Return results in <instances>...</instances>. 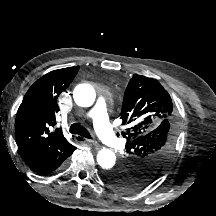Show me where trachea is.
<instances>
[{
    "label": "trachea",
    "instance_id": "1",
    "mask_svg": "<svg viewBox=\"0 0 216 216\" xmlns=\"http://www.w3.org/2000/svg\"><path fill=\"white\" fill-rule=\"evenodd\" d=\"M70 133L72 134H78L82 137H85V138H91V135L90 133L83 127L81 126L79 123H74L70 126Z\"/></svg>",
    "mask_w": 216,
    "mask_h": 216
}]
</instances>
